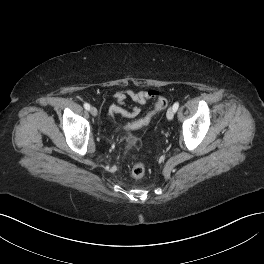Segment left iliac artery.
<instances>
[{"label": "left iliac artery", "instance_id": "44dca946", "mask_svg": "<svg viewBox=\"0 0 264 264\" xmlns=\"http://www.w3.org/2000/svg\"><path fill=\"white\" fill-rule=\"evenodd\" d=\"M178 107H179V103L175 102L174 105H173V109H174L175 112L177 111Z\"/></svg>", "mask_w": 264, "mask_h": 264}]
</instances>
